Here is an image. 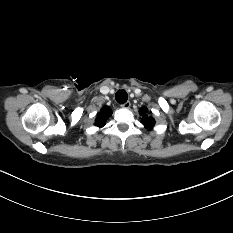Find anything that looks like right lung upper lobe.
<instances>
[{
	"instance_id": "1",
	"label": "right lung upper lobe",
	"mask_w": 233,
	"mask_h": 233,
	"mask_svg": "<svg viewBox=\"0 0 233 233\" xmlns=\"http://www.w3.org/2000/svg\"><path fill=\"white\" fill-rule=\"evenodd\" d=\"M112 114L111 109L108 106L102 107L101 111L98 113L96 118V126L103 127L105 125L106 119H108Z\"/></svg>"
}]
</instances>
